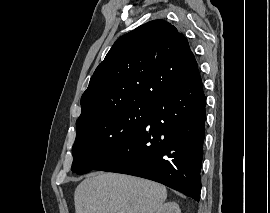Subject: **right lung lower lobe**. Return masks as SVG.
I'll use <instances>...</instances> for the list:
<instances>
[{"instance_id":"obj_1","label":"right lung lower lobe","mask_w":270,"mask_h":213,"mask_svg":"<svg viewBox=\"0 0 270 213\" xmlns=\"http://www.w3.org/2000/svg\"><path fill=\"white\" fill-rule=\"evenodd\" d=\"M205 104L197 69L159 99L141 128L95 170L154 180L199 202Z\"/></svg>"}]
</instances>
